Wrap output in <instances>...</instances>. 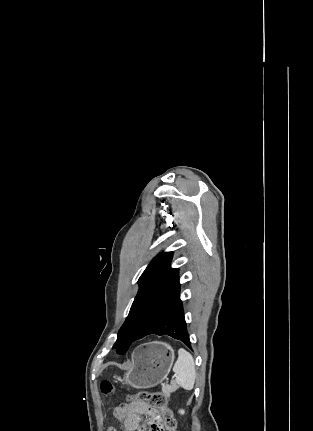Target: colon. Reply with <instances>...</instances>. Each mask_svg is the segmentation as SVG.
<instances>
[{
    "mask_svg": "<svg viewBox=\"0 0 313 431\" xmlns=\"http://www.w3.org/2000/svg\"><path fill=\"white\" fill-rule=\"evenodd\" d=\"M236 116L237 114L227 115V117ZM100 390L104 395L115 393V389L108 381L100 384ZM124 397L132 403L144 404L151 412L157 415L158 419L151 427V431H175L176 422L172 411L167 406L166 396L159 392L140 391L134 395L126 394ZM110 431H114L111 429Z\"/></svg>",
    "mask_w": 313,
    "mask_h": 431,
    "instance_id": "colon-1",
    "label": "colon"
}]
</instances>
